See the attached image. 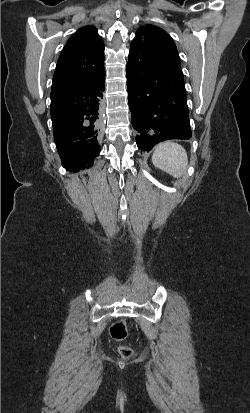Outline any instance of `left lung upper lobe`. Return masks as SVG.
Segmentation results:
<instances>
[{
	"mask_svg": "<svg viewBox=\"0 0 250 413\" xmlns=\"http://www.w3.org/2000/svg\"><path fill=\"white\" fill-rule=\"evenodd\" d=\"M146 38L157 42L165 51L173 55L176 58L177 65L180 66V58L173 39L164 30L153 25L140 27L136 32L132 43L137 44L144 41Z\"/></svg>",
	"mask_w": 250,
	"mask_h": 413,
	"instance_id": "1",
	"label": "left lung upper lobe"
}]
</instances>
